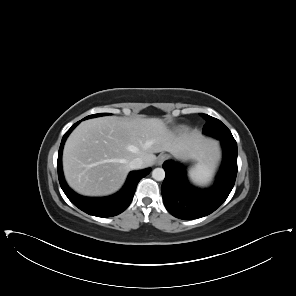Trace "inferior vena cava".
Here are the masks:
<instances>
[{
    "mask_svg": "<svg viewBox=\"0 0 296 296\" xmlns=\"http://www.w3.org/2000/svg\"><path fill=\"white\" fill-rule=\"evenodd\" d=\"M130 168L133 169H140L143 167V160L141 158H135L129 163Z\"/></svg>",
    "mask_w": 296,
    "mask_h": 296,
    "instance_id": "obj_1",
    "label": "inferior vena cava"
}]
</instances>
